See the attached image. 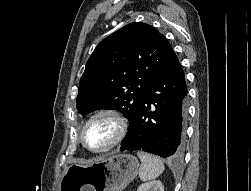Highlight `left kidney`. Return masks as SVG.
Here are the masks:
<instances>
[{
    "mask_svg": "<svg viewBox=\"0 0 251 191\" xmlns=\"http://www.w3.org/2000/svg\"><path fill=\"white\" fill-rule=\"evenodd\" d=\"M137 191H164V185H162L159 179H155V181H146V183H141Z\"/></svg>",
    "mask_w": 251,
    "mask_h": 191,
    "instance_id": "left-kidney-1",
    "label": "left kidney"
}]
</instances>
